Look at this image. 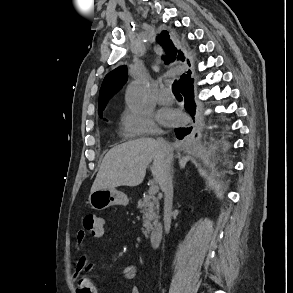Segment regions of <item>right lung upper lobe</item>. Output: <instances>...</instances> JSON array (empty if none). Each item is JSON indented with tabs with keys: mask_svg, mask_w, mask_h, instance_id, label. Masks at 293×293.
<instances>
[{
	"mask_svg": "<svg viewBox=\"0 0 293 293\" xmlns=\"http://www.w3.org/2000/svg\"><path fill=\"white\" fill-rule=\"evenodd\" d=\"M169 34L167 31H162V33L157 36V41L164 47L168 60L173 62L176 59H181L184 61L183 53L178 51L171 40H169ZM189 64V61H188ZM191 72L188 74H183L180 78L179 85L182 86L186 81L190 80ZM128 78V72L126 66H120L115 70L111 71L106 75L102 83L100 93H99V115H102V110H104L108 100L115 94L118 89L126 82Z\"/></svg>",
	"mask_w": 293,
	"mask_h": 293,
	"instance_id": "cb5924a9",
	"label": "right lung upper lobe"
}]
</instances>
